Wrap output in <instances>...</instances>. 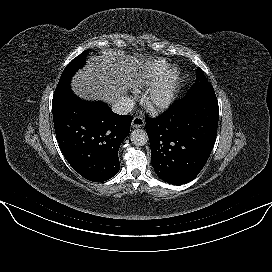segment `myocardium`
<instances>
[{
	"label": "myocardium",
	"instance_id": "myocardium-1",
	"mask_svg": "<svg viewBox=\"0 0 272 272\" xmlns=\"http://www.w3.org/2000/svg\"><path fill=\"white\" fill-rule=\"evenodd\" d=\"M179 77L176 68H169L162 78L151 87L144 100L149 110L153 112L162 111L173 104Z\"/></svg>",
	"mask_w": 272,
	"mask_h": 272
}]
</instances>
